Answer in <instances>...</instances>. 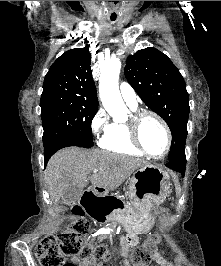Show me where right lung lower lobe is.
<instances>
[{
	"label": "right lung lower lobe",
	"mask_w": 221,
	"mask_h": 266,
	"mask_svg": "<svg viewBox=\"0 0 221 266\" xmlns=\"http://www.w3.org/2000/svg\"><path fill=\"white\" fill-rule=\"evenodd\" d=\"M57 150H53L50 152H45L44 154V158H45V165L47 164L48 160L50 159V157L56 152Z\"/></svg>",
	"instance_id": "1"
}]
</instances>
